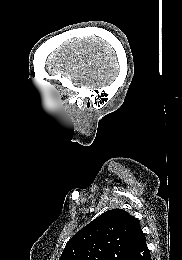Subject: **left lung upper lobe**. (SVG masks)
Wrapping results in <instances>:
<instances>
[{"label": "left lung upper lobe", "mask_w": 182, "mask_h": 260, "mask_svg": "<svg viewBox=\"0 0 182 260\" xmlns=\"http://www.w3.org/2000/svg\"><path fill=\"white\" fill-rule=\"evenodd\" d=\"M140 230L125 210H108L67 242L59 260H122Z\"/></svg>", "instance_id": "obj_1"}]
</instances>
